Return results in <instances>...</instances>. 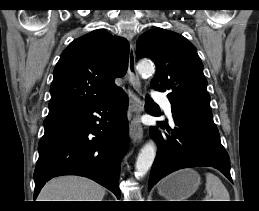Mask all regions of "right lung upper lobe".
Returning <instances> with one entry per match:
<instances>
[{"instance_id":"cb5924a9","label":"right lung upper lobe","mask_w":259,"mask_h":211,"mask_svg":"<svg viewBox=\"0 0 259 211\" xmlns=\"http://www.w3.org/2000/svg\"><path fill=\"white\" fill-rule=\"evenodd\" d=\"M128 56V42L104 30L75 39L54 69L48 116L86 109L120 94L114 79L125 75Z\"/></svg>"}]
</instances>
